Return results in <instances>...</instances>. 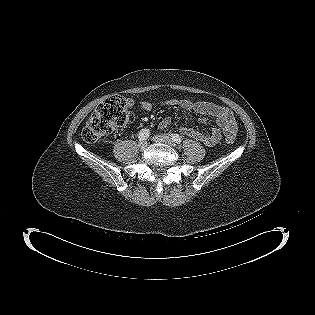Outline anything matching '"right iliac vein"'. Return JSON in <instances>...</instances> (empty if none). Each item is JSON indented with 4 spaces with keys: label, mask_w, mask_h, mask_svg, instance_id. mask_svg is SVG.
Masks as SVG:
<instances>
[{
    "label": "right iliac vein",
    "mask_w": 315,
    "mask_h": 315,
    "mask_svg": "<svg viewBox=\"0 0 315 315\" xmlns=\"http://www.w3.org/2000/svg\"><path fill=\"white\" fill-rule=\"evenodd\" d=\"M148 143L147 141L145 140H141L138 144V146L141 148V149H145L147 147Z\"/></svg>",
    "instance_id": "1"
}]
</instances>
